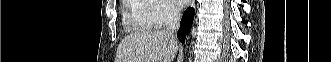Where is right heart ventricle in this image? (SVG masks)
<instances>
[{"label": "right heart ventricle", "instance_id": "right-heart-ventricle-1", "mask_svg": "<svg viewBox=\"0 0 331 62\" xmlns=\"http://www.w3.org/2000/svg\"><path fill=\"white\" fill-rule=\"evenodd\" d=\"M151 10L143 0L128 1L124 9V24L140 31H150L149 14Z\"/></svg>", "mask_w": 331, "mask_h": 62}]
</instances>
